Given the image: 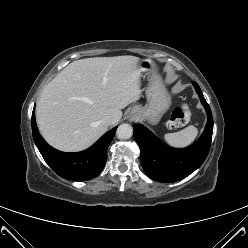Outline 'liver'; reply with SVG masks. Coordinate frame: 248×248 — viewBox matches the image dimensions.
I'll return each instance as SVG.
<instances>
[{"label": "liver", "mask_w": 248, "mask_h": 248, "mask_svg": "<svg viewBox=\"0 0 248 248\" xmlns=\"http://www.w3.org/2000/svg\"><path fill=\"white\" fill-rule=\"evenodd\" d=\"M141 61L135 56L76 60L43 90L36 119L45 140L67 152L91 146L106 131L105 116L121 117V109L141 97Z\"/></svg>", "instance_id": "1"}]
</instances>
